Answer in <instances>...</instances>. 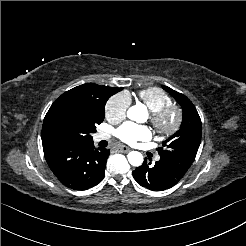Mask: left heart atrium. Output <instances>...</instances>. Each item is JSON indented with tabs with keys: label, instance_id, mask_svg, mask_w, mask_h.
<instances>
[{
	"label": "left heart atrium",
	"instance_id": "1",
	"mask_svg": "<svg viewBox=\"0 0 246 246\" xmlns=\"http://www.w3.org/2000/svg\"><path fill=\"white\" fill-rule=\"evenodd\" d=\"M116 135L128 144H136L139 141L151 138V130L146 126L137 125L133 122H126L116 131Z\"/></svg>",
	"mask_w": 246,
	"mask_h": 246
}]
</instances>
